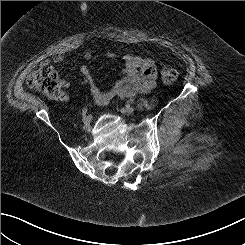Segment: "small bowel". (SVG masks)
<instances>
[{"label": "small bowel", "instance_id": "obj_1", "mask_svg": "<svg viewBox=\"0 0 245 245\" xmlns=\"http://www.w3.org/2000/svg\"><path fill=\"white\" fill-rule=\"evenodd\" d=\"M85 59H91L92 54L86 52ZM110 59H114L115 55L110 53ZM62 54H56L53 57L55 63L63 60ZM124 72L120 79H118L110 88L101 91L94 82L91 72L87 66H82L80 72L83 75L86 83L90 87L91 95L94 101L100 105H107L114 97H131L138 94H147L153 90L156 84L157 71L154 62L149 59L138 55L126 54L123 56ZM44 64H48L44 62ZM62 87H68V82L62 81ZM59 100H65V93L61 92L58 97Z\"/></svg>", "mask_w": 245, "mask_h": 245}]
</instances>
